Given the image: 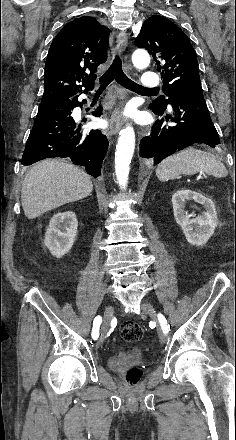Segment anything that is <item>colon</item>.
I'll return each instance as SVG.
<instances>
[{
  "mask_svg": "<svg viewBox=\"0 0 236 440\" xmlns=\"http://www.w3.org/2000/svg\"><path fill=\"white\" fill-rule=\"evenodd\" d=\"M124 340L128 342H137L143 335V328L136 322H125L120 329ZM126 383L129 386H136L141 379V371L138 368L130 369L126 374Z\"/></svg>",
  "mask_w": 236,
  "mask_h": 440,
  "instance_id": "colon-1",
  "label": "colon"
}]
</instances>
